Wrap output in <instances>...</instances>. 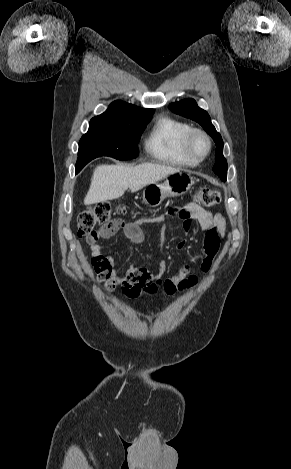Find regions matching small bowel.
<instances>
[{
    "instance_id": "obj_1",
    "label": "small bowel",
    "mask_w": 291,
    "mask_h": 469,
    "mask_svg": "<svg viewBox=\"0 0 291 469\" xmlns=\"http://www.w3.org/2000/svg\"><path fill=\"white\" fill-rule=\"evenodd\" d=\"M176 212L183 221L185 232L190 231L193 221H197L202 230L206 231L203 243L204 257L201 261L200 269L203 273H208L218 252L220 239L226 234L225 218L221 214H213L195 203H188L177 209ZM164 220L165 215L140 218L134 222L114 219L108 224L107 233L103 238H109L119 230H122L131 243L141 244L144 240L143 225L157 223L162 224V229H164ZM89 243L93 258L101 259L108 265L106 269L100 272L96 271L98 280L106 281L109 289L121 287L124 295L128 298H137L145 293H155L158 288H162L166 294L171 295L177 291L185 292L193 289L198 283L197 276L191 274L189 264L182 265L176 275L162 279V275L166 270V263L164 261L158 264L154 272L129 266L125 273L121 274L116 270L113 258L103 254L102 248L97 241ZM186 246L187 241L185 239L177 243V248L180 250L185 249Z\"/></svg>"
}]
</instances>
